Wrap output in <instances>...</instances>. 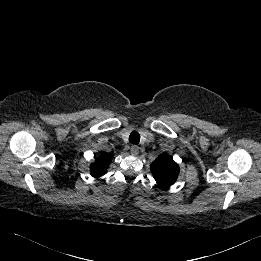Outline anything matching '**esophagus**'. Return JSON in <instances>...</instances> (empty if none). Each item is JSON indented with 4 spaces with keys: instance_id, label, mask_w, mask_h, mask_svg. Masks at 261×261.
<instances>
[{
    "instance_id": "esophagus-1",
    "label": "esophagus",
    "mask_w": 261,
    "mask_h": 261,
    "mask_svg": "<svg viewBox=\"0 0 261 261\" xmlns=\"http://www.w3.org/2000/svg\"><path fill=\"white\" fill-rule=\"evenodd\" d=\"M130 152L133 156L138 155L139 153V147L137 145H132L130 148Z\"/></svg>"
}]
</instances>
